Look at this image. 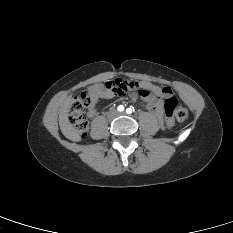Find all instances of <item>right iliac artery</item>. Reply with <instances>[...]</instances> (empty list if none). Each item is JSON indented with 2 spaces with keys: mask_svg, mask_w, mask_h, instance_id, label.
<instances>
[{
  "mask_svg": "<svg viewBox=\"0 0 233 233\" xmlns=\"http://www.w3.org/2000/svg\"><path fill=\"white\" fill-rule=\"evenodd\" d=\"M117 110H118L119 112L124 111V106H123V105H119L118 108H117Z\"/></svg>",
  "mask_w": 233,
  "mask_h": 233,
  "instance_id": "right-iliac-artery-1",
  "label": "right iliac artery"
}]
</instances>
